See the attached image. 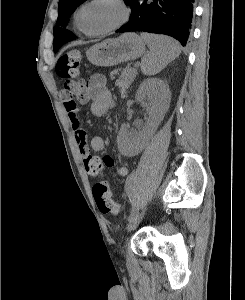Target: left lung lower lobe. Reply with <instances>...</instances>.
Instances as JSON below:
<instances>
[{"label": "left lung lower lobe", "instance_id": "left-lung-lower-lobe-1", "mask_svg": "<svg viewBox=\"0 0 245 300\" xmlns=\"http://www.w3.org/2000/svg\"><path fill=\"white\" fill-rule=\"evenodd\" d=\"M194 0H134L129 22L116 32L166 34L183 46L189 39Z\"/></svg>", "mask_w": 245, "mask_h": 300}]
</instances>
